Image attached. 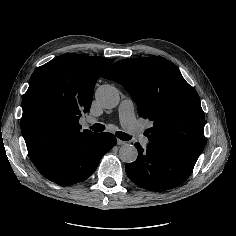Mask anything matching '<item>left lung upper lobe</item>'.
Wrapping results in <instances>:
<instances>
[{
  "mask_svg": "<svg viewBox=\"0 0 236 236\" xmlns=\"http://www.w3.org/2000/svg\"><path fill=\"white\" fill-rule=\"evenodd\" d=\"M131 94L138 112L153 122L149 142L169 147L196 161L205 147L204 112L196 90L163 57L124 59L102 75Z\"/></svg>",
  "mask_w": 236,
  "mask_h": 236,
  "instance_id": "1",
  "label": "left lung upper lobe"
}]
</instances>
